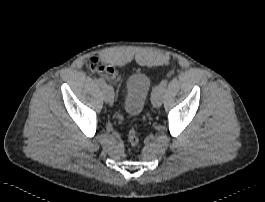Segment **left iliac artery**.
I'll list each match as a JSON object with an SVG mask.
<instances>
[{
    "label": "left iliac artery",
    "mask_w": 265,
    "mask_h": 202,
    "mask_svg": "<svg viewBox=\"0 0 265 202\" xmlns=\"http://www.w3.org/2000/svg\"><path fill=\"white\" fill-rule=\"evenodd\" d=\"M167 84H168V80H166V79L163 80V81L160 83V85L156 86V87L153 89L152 96H153L155 93H157L158 91H160V90H164V89L166 88Z\"/></svg>",
    "instance_id": "left-iliac-artery-1"
}]
</instances>
